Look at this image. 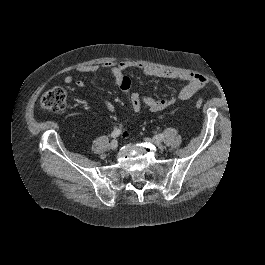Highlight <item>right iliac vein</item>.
I'll return each mask as SVG.
<instances>
[{"mask_svg": "<svg viewBox=\"0 0 265 265\" xmlns=\"http://www.w3.org/2000/svg\"><path fill=\"white\" fill-rule=\"evenodd\" d=\"M117 147H118V142H117V140H112V142L110 143V149H111L112 151H115V150L117 149Z\"/></svg>", "mask_w": 265, "mask_h": 265, "instance_id": "1", "label": "right iliac vein"}]
</instances>
